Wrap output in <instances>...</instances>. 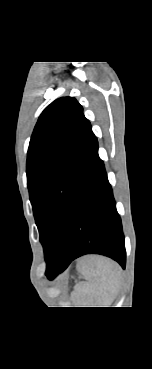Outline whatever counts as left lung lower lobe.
I'll use <instances>...</instances> for the list:
<instances>
[{
	"label": "left lung lower lobe",
	"mask_w": 152,
	"mask_h": 369,
	"mask_svg": "<svg viewBox=\"0 0 152 369\" xmlns=\"http://www.w3.org/2000/svg\"><path fill=\"white\" fill-rule=\"evenodd\" d=\"M91 253L108 256L125 268L121 219L104 163L98 156L97 139L88 157L62 244L55 259L47 262L45 274L53 279L75 258Z\"/></svg>",
	"instance_id": "0a47b994"
}]
</instances>
